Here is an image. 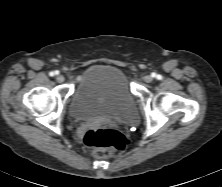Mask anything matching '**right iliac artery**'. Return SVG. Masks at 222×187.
<instances>
[{
	"label": "right iliac artery",
	"mask_w": 222,
	"mask_h": 187,
	"mask_svg": "<svg viewBox=\"0 0 222 187\" xmlns=\"http://www.w3.org/2000/svg\"><path fill=\"white\" fill-rule=\"evenodd\" d=\"M57 74H58V71H52V72L49 73L50 76H54V75H57Z\"/></svg>",
	"instance_id": "1"
}]
</instances>
